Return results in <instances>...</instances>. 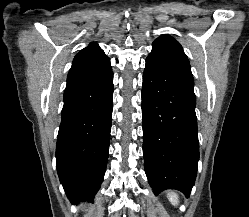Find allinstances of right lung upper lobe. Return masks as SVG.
Instances as JSON below:
<instances>
[{
	"instance_id": "1",
	"label": "right lung upper lobe",
	"mask_w": 249,
	"mask_h": 217,
	"mask_svg": "<svg viewBox=\"0 0 249 217\" xmlns=\"http://www.w3.org/2000/svg\"><path fill=\"white\" fill-rule=\"evenodd\" d=\"M104 53L102 49L95 43H91L88 47L82 49L74 58L75 60L87 58L90 56L98 55Z\"/></svg>"
}]
</instances>
